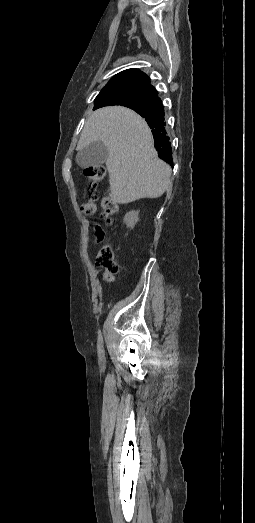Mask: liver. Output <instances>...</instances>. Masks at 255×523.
Instances as JSON below:
<instances>
[{
	"mask_svg": "<svg viewBox=\"0 0 255 523\" xmlns=\"http://www.w3.org/2000/svg\"><path fill=\"white\" fill-rule=\"evenodd\" d=\"M101 140L108 150L106 166L116 204L160 198L170 184L171 168L159 160L151 130L133 110L110 106L88 116L76 150Z\"/></svg>",
	"mask_w": 255,
	"mask_h": 523,
	"instance_id": "obj_1",
	"label": "liver"
}]
</instances>
